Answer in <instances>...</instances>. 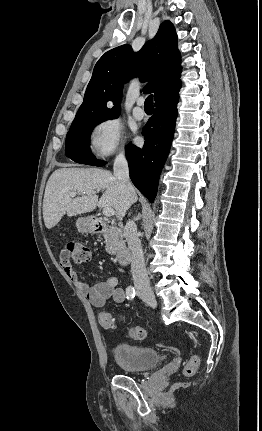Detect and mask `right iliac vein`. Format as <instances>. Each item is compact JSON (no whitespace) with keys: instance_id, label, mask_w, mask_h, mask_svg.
<instances>
[{"instance_id":"right-iliac-vein-1","label":"right iliac vein","mask_w":262,"mask_h":431,"mask_svg":"<svg viewBox=\"0 0 262 431\" xmlns=\"http://www.w3.org/2000/svg\"><path fill=\"white\" fill-rule=\"evenodd\" d=\"M139 296L141 297L142 300L147 302L149 305H151V306L157 305L156 297L152 291H142L141 290L139 292Z\"/></svg>"}]
</instances>
